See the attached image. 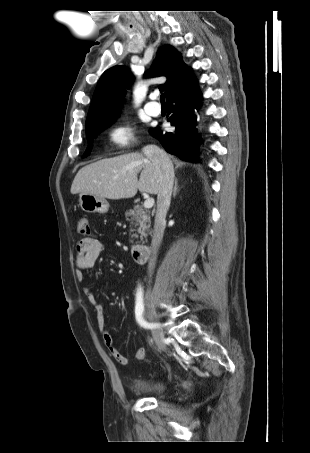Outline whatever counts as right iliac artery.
I'll list each match as a JSON object with an SVG mask.
<instances>
[{
    "label": "right iliac artery",
    "instance_id": "1",
    "mask_svg": "<svg viewBox=\"0 0 310 453\" xmlns=\"http://www.w3.org/2000/svg\"><path fill=\"white\" fill-rule=\"evenodd\" d=\"M143 311H144L143 292L141 287H139L136 294V305H135L136 320L144 328L152 329L156 327V324H151L143 320L142 317Z\"/></svg>",
    "mask_w": 310,
    "mask_h": 453
}]
</instances>
